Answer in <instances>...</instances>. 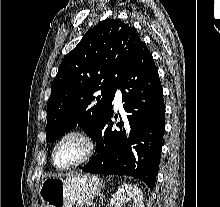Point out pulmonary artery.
<instances>
[{"label": "pulmonary artery", "instance_id": "e3ab8cb5", "mask_svg": "<svg viewBox=\"0 0 220 207\" xmlns=\"http://www.w3.org/2000/svg\"><path fill=\"white\" fill-rule=\"evenodd\" d=\"M114 102L117 108L122 107V94L119 89L116 90Z\"/></svg>", "mask_w": 220, "mask_h": 207}]
</instances>
